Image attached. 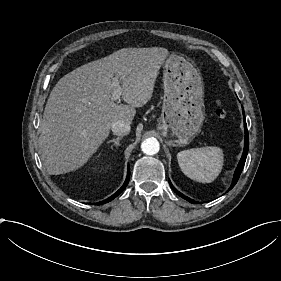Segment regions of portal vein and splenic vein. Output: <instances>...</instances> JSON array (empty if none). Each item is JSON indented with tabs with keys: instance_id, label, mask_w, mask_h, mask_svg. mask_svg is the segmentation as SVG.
I'll return each mask as SVG.
<instances>
[{
	"instance_id": "18ae733b",
	"label": "portal vein and splenic vein",
	"mask_w": 281,
	"mask_h": 281,
	"mask_svg": "<svg viewBox=\"0 0 281 281\" xmlns=\"http://www.w3.org/2000/svg\"><path fill=\"white\" fill-rule=\"evenodd\" d=\"M112 85H113V92H112L111 101L119 100L122 93V88L119 84L118 78L114 77L112 79Z\"/></svg>"
}]
</instances>
